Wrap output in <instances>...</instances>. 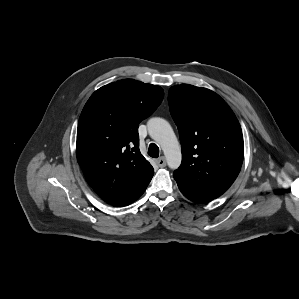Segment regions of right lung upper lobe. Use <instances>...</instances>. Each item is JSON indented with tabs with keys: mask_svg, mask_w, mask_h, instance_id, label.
<instances>
[{
	"mask_svg": "<svg viewBox=\"0 0 299 299\" xmlns=\"http://www.w3.org/2000/svg\"><path fill=\"white\" fill-rule=\"evenodd\" d=\"M163 89L133 79L96 90L78 122L76 155L88 184L115 205L143 193L154 169L139 150V123L160 105Z\"/></svg>",
	"mask_w": 299,
	"mask_h": 299,
	"instance_id": "1",
	"label": "right lung upper lobe"
}]
</instances>
